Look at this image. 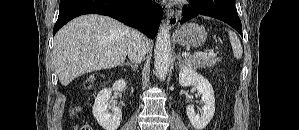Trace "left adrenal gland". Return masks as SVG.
Here are the masks:
<instances>
[{"label": "left adrenal gland", "instance_id": "left-adrenal-gland-1", "mask_svg": "<svg viewBox=\"0 0 299 130\" xmlns=\"http://www.w3.org/2000/svg\"><path fill=\"white\" fill-rule=\"evenodd\" d=\"M178 61H177V65L179 66V67H181L182 66V59H181V57L180 56H178Z\"/></svg>", "mask_w": 299, "mask_h": 130}]
</instances>
